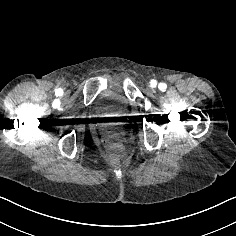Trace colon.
I'll list each match as a JSON object with an SVG mask.
<instances>
[{"mask_svg": "<svg viewBox=\"0 0 236 236\" xmlns=\"http://www.w3.org/2000/svg\"><path fill=\"white\" fill-rule=\"evenodd\" d=\"M109 155L116 160H122L125 158V149L122 143L118 141H108L106 145Z\"/></svg>", "mask_w": 236, "mask_h": 236, "instance_id": "obj_1", "label": "colon"}]
</instances>
